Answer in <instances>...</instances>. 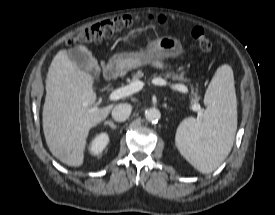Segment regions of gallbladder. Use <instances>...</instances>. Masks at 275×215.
<instances>
[{
	"label": "gallbladder",
	"mask_w": 275,
	"mask_h": 215,
	"mask_svg": "<svg viewBox=\"0 0 275 215\" xmlns=\"http://www.w3.org/2000/svg\"><path fill=\"white\" fill-rule=\"evenodd\" d=\"M69 57L77 63L79 67L88 60V56L86 53L80 51L77 47L71 48L68 51ZM95 75V78H98V74L96 72H92Z\"/></svg>",
	"instance_id": "bac80fb5"
}]
</instances>
